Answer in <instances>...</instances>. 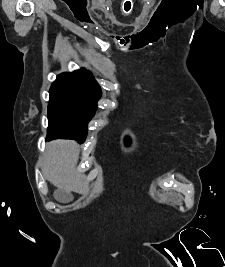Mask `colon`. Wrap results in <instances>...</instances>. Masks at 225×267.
<instances>
[{"instance_id":"colon-1","label":"colon","mask_w":225,"mask_h":267,"mask_svg":"<svg viewBox=\"0 0 225 267\" xmlns=\"http://www.w3.org/2000/svg\"><path fill=\"white\" fill-rule=\"evenodd\" d=\"M124 6H125V8H124L125 12H126V13H129L130 10H131V7H132L131 3H130V2H129V3L126 2V3L124 4Z\"/></svg>"}]
</instances>
